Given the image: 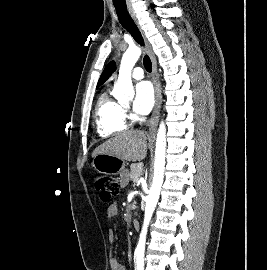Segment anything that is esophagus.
<instances>
[{"label": "esophagus", "mask_w": 267, "mask_h": 270, "mask_svg": "<svg viewBox=\"0 0 267 270\" xmlns=\"http://www.w3.org/2000/svg\"><path fill=\"white\" fill-rule=\"evenodd\" d=\"M128 12H129L131 18L133 19V21L135 22V24L137 25V27L139 28V30H140L143 38H144L146 49H147V52L149 54V57H150L151 63H152V80H153V84H154V87H155L156 103H155L153 114H152V116L150 118V121H149V133H148V136L149 137H155L157 124H158V119H159L160 99H161L160 85H159L158 73H157L156 57L154 55V52H153V49H152V46H151L150 42L147 40L144 32L142 31V29H141V27L139 25V21L137 19V16H136L133 8L129 7Z\"/></svg>", "instance_id": "34e87169"}]
</instances>
